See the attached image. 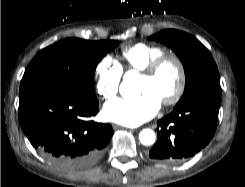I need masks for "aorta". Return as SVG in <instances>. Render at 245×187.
Returning a JSON list of instances; mask_svg holds the SVG:
<instances>
[{"label":"aorta","instance_id":"762f6f07","mask_svg":"<svg viewBox=\"0 0 245 187\" xmlns=\"http://www.w3.org/2000/svg\"><path fill=\"white\" fill-rule=\"evenodd\" d=\"M120 94L130 101H135L140 97V90L137 85V80L125 74L123 82L120 85ZM139 140L143 145L150 146L154 144L156 136L153 130L143 129L139 134Z\"/></svg>","mask_w":245,"mask_h":187}]
</instances>
